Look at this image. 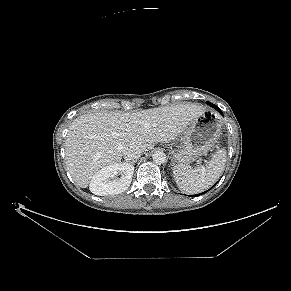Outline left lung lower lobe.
Listing matches in <instances>:
<instances>
[{"label": "left lung lower lobe", "instance_id": "obj_1", "mask_svg": "<svg viewBox=\"0 0 291 291\" xmlns=\"http://www.w3.org/2000/svg\"><path fill=\"white\" fill-rule=\"evenodd\" d=\"M212 107L215 108L219 113H221V110L216 105H212Z\"/></svg>", "mask_w": 291, "mask_h": 291}]
</instances>
